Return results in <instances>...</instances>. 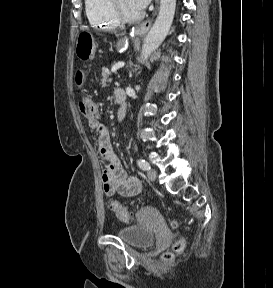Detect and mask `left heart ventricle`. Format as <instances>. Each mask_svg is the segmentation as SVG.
Returning a JSON list of instances; mask_svg holds the SVG:
<instances>
[{
	"label": "left heart ventricle",
	"instance_id": "obj_1",
	"mask_svg": "<svg viewBox=\"0 0 273 288\" xmlns=\"http://www.w3.org/2000/svg\"><path fill=\"white\" fill-rule=\"evenodd\" d=\"M119 7L121 11L129 17L140 14V11L135 8L131 0H119Z\"/></svg>",
	"mask_w": 273,
	"mask_h": 288
}]
</instances>
